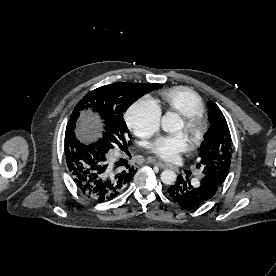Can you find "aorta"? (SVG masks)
<instances>
[{
    "label": "aorta",
    "mask_w": 276,
    "mask_h": 276,
    "mask_svg": "<svg viewBox=\"0 0 276 276\" xmlns=\"http://www.w3.org/2000/svg\"><path fill=\"white\" fill-rule=\"evenodd\" d=\"M161 126L165 132L175 133L182 129L183 121L177 113L167 112L161 119ZM176 174L170 169L161 173V181L166 185H172L176 181Z\"/></svg>",
    "instance_id": "1"
}]
</instances>
